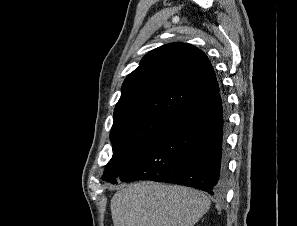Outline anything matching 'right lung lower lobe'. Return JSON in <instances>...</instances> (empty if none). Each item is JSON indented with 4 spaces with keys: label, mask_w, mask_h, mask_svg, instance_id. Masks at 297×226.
I'll return each mask as SVG.
<instances>
[{
    "label": "right lung lower lobe",
    "mask_w": 297,
    "mask_h": 226,
    "mask_svg": "<svg viewBox=\"0 0 297 226\" xmlns=\"http://www.w3.org/2000/svg\"><path fill=\"white\" fill-rule=\"evenodd\" d=\"M227 127L225 100L219 92L187 104L171 115L114 183L152 180L218 194L226 175L222 150Z\"/></svg>",
    "instance_id": "98d812e1"
}]
</instances>
